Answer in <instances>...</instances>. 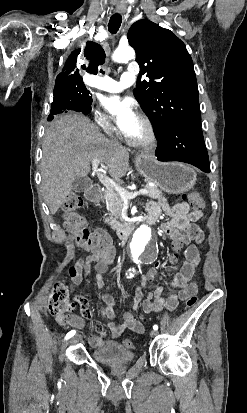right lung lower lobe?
Wrapping results in <instances>:
<instances>
[{
	"instance_id": "1",
	"label": "right lung lower lobe",
	"mask_w": 247,
	"mask_h": 413,
	"mask_svg": "<svg viewBox=\"0 0 247 413\" xmlns=\"http://www.w3.org/2000/svg\"><path fill=\"white\" fill-rule=\"evenodd\" d=\"M91 103L92 99L84 100L74 96L55 97L53 98L51 111L47 120L51 121L54 118V115L63 112L66 113L71 110L87 115L91 111Z\"/></svg>"
}]
</instances>
